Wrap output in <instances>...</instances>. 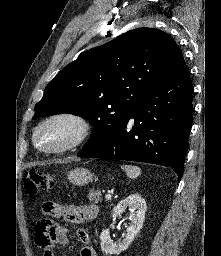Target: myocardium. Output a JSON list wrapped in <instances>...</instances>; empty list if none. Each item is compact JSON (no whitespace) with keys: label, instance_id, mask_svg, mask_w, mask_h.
<instances>
[{"label":"myocardium","instance_id":"obj_1","mask_svg":"<svg viewBox=\"0 0 221 256\" xmlns=\"http://www.w3.org/2000/svg\"><path fill=\"white\" fill-rule=\"evenodd\" d=\"M58 121L70 123L74 127L73 137L69 141L55 147H45L40 145L38 142V134L40 130L45 126ZM91 134L92 125L87 117L75 111H58L50 114L38 123L33 131L32 140L34 145L41 151L58 154L79 147L89 139Z\"/></svg>","mask_w":221,"mask_h":256}]
</instances>
